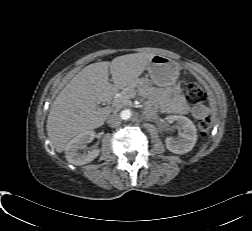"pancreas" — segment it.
<instances>
[{"mask_svg":"<svg viewBox=\"0 0 252 231\" xmlns=\"http://www.w3.org/2000/svg\"><path fill=\"white\" fill-rule=\"evenodd\" d=\"M147 81L144 82V90H151L147 87ZM131 104V100H130V96H129V92L127 91H122L120 96L116 97L114 100V107L116 110L121 109L124 106H128Z\"/></svg>","mask_w":252,"mask_h":231,"instance_id":"cf45deb5","label":"pancreas"}]
</instances>
